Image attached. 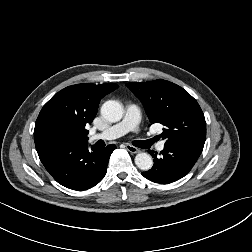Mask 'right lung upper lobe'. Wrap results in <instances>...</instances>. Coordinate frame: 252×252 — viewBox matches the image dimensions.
Wrapping results in <instances>:
<instances>
[{
	"mask_svg": "<svg viewBox=\"0 0 252 252\" xmlns=\"http://www.w3.org/2000/svg\"><path fill=\"white\" fill-rule=\"evenodd\" d=\"M118 88L117 84H76L56 93L42 108L35 123L37 152L66 139L87 143L88 130L100 100Z\"/></svg>",
	"mask_w": 252,
	"mask_h": 252,
	"instance_id": "right-lung-upper-lobe-1",
	"label": "right lung upper lobe"
}]
</instances>
